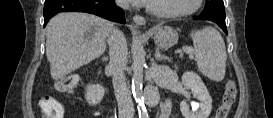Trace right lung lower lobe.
Here are the masks:
<instances>
[{"instance_id":"obj_1","label":"right lung lower lobe","mask_w":273,"mask_h":118,"mask_svg":"<svg viewBox=\"0 0 273 118\" xmlns=\"http://www.w3.org/2000/svg\"><path fill=\"white\" fill-rule=\"evenodd\" d=\"M60 12H86L111 21L126 22L123 10L115 5L114 0H45L44 27Z\"/></svg>"}]
</instances>
